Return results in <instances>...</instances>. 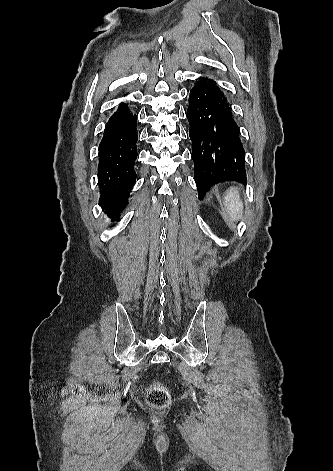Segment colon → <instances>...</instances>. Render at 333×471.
Segmentation results:
<instances>
[{
	"mask_svg": "<svg viewBox=\"0 0 333 471\" xmlns=\"http://www.w3.org/2000/svg\"><path fill=\"white\" fill-rule=\"evenodd\" d=\"M170 396L167 389L160 383H154L147 392V402L155 408H164L169 404Z\"/></svg>",
	"mask_w": 333,
	"mask_h": 471,
	"instance_id": "1",
	"label": "colon"
}]
</instances>
